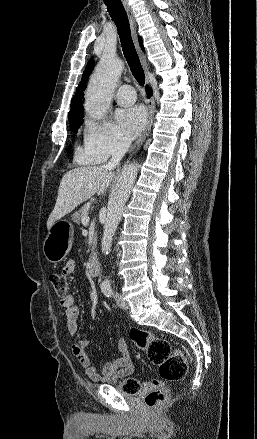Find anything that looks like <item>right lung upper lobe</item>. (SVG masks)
<instances>
[{
    "label": "right lung upper lobe",
    "instance_id": "right-lung-upper-lobe-1",
    "mask_svg": "<svg viewBox=\"0 0 257 439\" xmlns=\"http://www.w3.org/2000/svg\"><path fill=\"white\" fill-rule=\"evenodd\" d=\"M140 45L143 48L142 40L139 38ZM94 67V60L91 58L86 66V69L83 73V79L76 88V94L73 96L71 100V111L69 113H80L83 114V97H84V90L86 88V82L89 74L91 73L92 69ZM68 113V114H69Z\"/></svg>",
    "mask_w": 257,
    "mask_h": 439
}]
</instances>
